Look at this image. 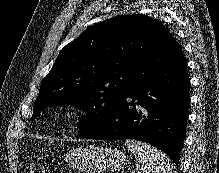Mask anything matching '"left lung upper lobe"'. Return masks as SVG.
Segmentation results:
<instances>
[{
  "mask_svg": "<svg viewBox=\"0 0 219 173\" xmlns=\"http://www.w3.org/2000/svg\"><path fill=\"white\" fill-rule=\"evenodd\" d=\"M169 34L146 15H121L87 28L60 51L40 85L31 120L46 107L68 103L88 112L77 137L95 132L131 90L137 64Z\"/></svg>",
  "mask_w": 219,
  "mask_h": 173,
  "instance_id": "5c2ea615",
  "label": "left lung upper lobe"
}]
</instances>
